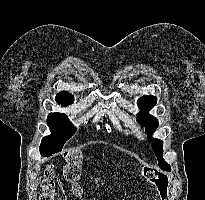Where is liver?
Returning <instances> with one entry per match:
<instances>
[{
  "label": "liver",
  "instance_id": "obj_1",
  "mask_svg": "<svg viewBox=\"0 0 205 200\" xmlns=\"http://www.w3.org/2000/svg\"><path fill=\"white\" fill-rule=\"evenodd\" d=\"M99 179H96L95 182L98 183Z\"/></svg>",
  "mask_w": 205,
  "mask_h": 200
}]
</instances>
